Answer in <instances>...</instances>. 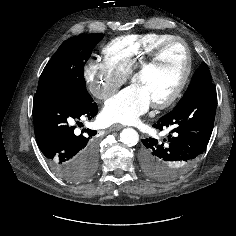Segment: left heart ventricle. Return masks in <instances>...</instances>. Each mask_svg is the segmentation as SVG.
<instances>
[{"mask_svg": "<svg viewBox=\"0 0 236 236\" xmlns=\"http://www.w3.org/2000/svg\"><path fill=\"white\" fill-rule=\"evenodd\" d=\"M184 69L185 54L183 47L175 43L167 47L154 64L137 75L132 82L141 86L148 94L151 102H155L165 98L173 91L181 79Z\"/></svg>", "mask_w": 236, "mask_h": 236, "instance_id": "left-heart-ventricle-1", "label": "left heart ventricle"}]
</instances>
